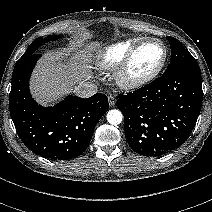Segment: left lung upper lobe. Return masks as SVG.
Here are the masks:
<instances>
[{
    "mask_svg": "<svg viewBox=\"0 0 212 212\" xmlns=\"http://www.w3.org/2000/svg\"><path fill=\"white\" fill-rule=\"evenodd\" d=\"M171 46V61L164 74L188 66H198L194 57L184 48V46L175 38L167 36Z\"/></svg>",
    "mask_w": 212,
    "mask_h": 212,
    "instance_id": "1",
    "label": "left lung upper lobe"
}]
</instances>
